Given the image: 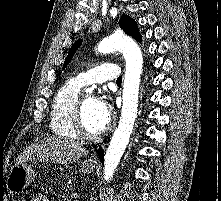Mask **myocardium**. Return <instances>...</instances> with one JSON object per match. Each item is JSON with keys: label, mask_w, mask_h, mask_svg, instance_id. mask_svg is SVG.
<instances>
[{"label": "myocardium", "mask_w": 221, "mask_h": 201, "mask_svg": "<svg viewBox=\"0 0 221 201\" xmlns=\"http://www.w3.org/2000/svg\"><path fill=\"white\" fill-rule=\"evenodd\" d=\"M84 99L81 98L78 100L76 108H75V113H74V130L77 134L78 137L86 140H95L99 139L102 136H104L113 126V120L109 119L107 125L99 132L97 133H89L83 123V109H84ZM97 99V98H95Z\"/></svg>", "instance_id": "obj_1"}]
</instances>
